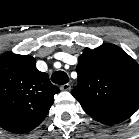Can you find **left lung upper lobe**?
<instances>
[{"instance_id": "obj_1", "label": "left lung upper lobe", "mask_w": 139, "mask_h": 139, "mask_svg": "<svg viewBox=\"0 0 139 139\" xmlns=\"http://www.w3.org/2000/svg\"><path fill=\"white\" fill-rule=\"evenodd\" d=\"M78 84L71 94L90 116L139 108V65L116 45L87 49L78 58Z\"/></svg>"}]
</instances>
